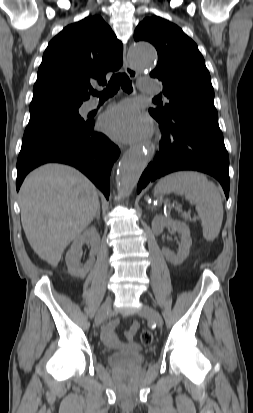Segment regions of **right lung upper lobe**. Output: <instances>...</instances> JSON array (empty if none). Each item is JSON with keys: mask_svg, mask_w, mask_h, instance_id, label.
<instances>
[{"mask_svg": "<svg viewBox=\"0 0 253 413\" xmlns=\"http://www.w3.org/2000/svg\"><path fill=\"white\" fill-rule=\"evenodd\" d=\"M123 46L100 16L68 25L46 48L33 88L30 113L80 107L89 99L90 81L120 68Z\"/></svg>", "mask_w": 253, "mask_h": 413, "instance_id": "obj_1", "label": "right lung upper lobe"}]
</instances>
